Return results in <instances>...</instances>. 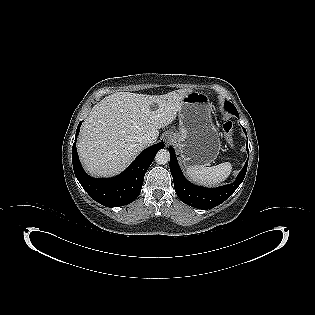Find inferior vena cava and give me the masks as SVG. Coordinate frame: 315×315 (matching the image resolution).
Instances as JSON below:
<instances>
[{
	"mask_svg": "<svg viewBox=\"0 0 315 315\" xmlns=\"http://www.w3.org/2000/svg\"><path fill=\"white\" fill-rule=\"evenodd\" d=\"M156 141V139L154 137H152L151 135H144L141 138V142L145 145L148 146L150 144H153Z\"/></svg>",
	"mask_w": 315,
	"mask_h": 315,
	"instance_id": "inferior-vena-cava-1",
	"label": "inferior vena cava"
}]
</instances>
